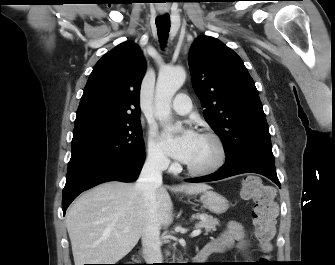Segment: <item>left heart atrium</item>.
I'll return each mask as SVG.
<instances>
[{"label": "left heart atrium", "mask_w": 335, "mask_h": 265, "mask_svg": "<svg viewBox=\"0 0 335 265\" xmlns=\"http://www.w3.org/2000/svg\"><path fill=\"white\" fill-rule=\"evenodd\" d=\"M198 138L199 135L192 129H186L177 135L172 129L168 128L163 133V141L167 152L184 163L190 160Z\"/></svg>", "instance_id": "1"}]
</instances>
